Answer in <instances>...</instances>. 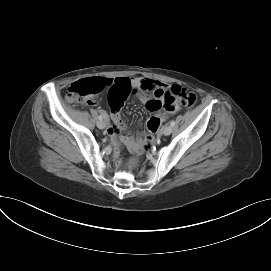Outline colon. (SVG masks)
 I'll return each mask as SVG.
<instances>
[{"mask_svg":"<svg viewBox=\"0 0 271 271\" xmlns=\"http://www.w3.org/2000/svg\"><path fill=\"white\" fill-rule=\"evenodd\" d=\"M106 83L107 81L105 78L99 77L76 81L69 86L66 98L70 102L90 105L93 103L94 97L105 89ZM159 97L163 101V106L167 109H170L177 104L190 108L196 102V95L191 90L178 85H173L166 89L159 94ZM159 126L160 119L151 117L147 123L148 132L154 133ZM152 144L153 137L150 134H147L138 145V148L146 149Z\"/></svg>","mask_w":271,"mask_h":271,"instance_id":"5ec220e1","label":"colon"}]
</instances>
